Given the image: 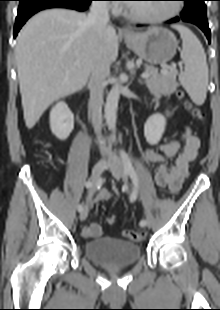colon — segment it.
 Masks as SVG:
<instances>
[{
	"mask_svg": "<svg viewBox=\"0 0 220 310\" xmlns=\"http://www.w3.org/2000/svg\"><path fill=\"white\" fill-rule=\"evenodd\" d=\"M178 96L182 97L183 96L182 92H178ZM188 106L191 107L190 105H188ZM192 112L199 120L204 119V114L201 110L193 108ZM115 221H116V216H114V215H111L107 218V222L109 224H114ZM122 235H123V237L128 238V239L135 241V242L141 241L144 237V234L142 232H139V231H136L133 229L123 230Z\"/></svg>",
	"mask_w": 220,
	"mask_h": 310,
	"instance_id": "obj_1",
	"label": "colon"
}]
</instances>
